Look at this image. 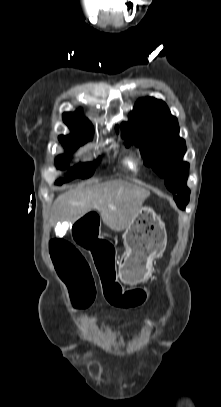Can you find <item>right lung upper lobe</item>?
<instances>
[{
	"instance_id": "right-lung-upper-lobe-1",
	"label": "right lung upper lobe",
	"mask_w": 221,
	"mask_h": 407,
	"mask_svg": "<svg viewBox=\"0 0 221 407\" xmlns=\"http://www.w3.org/2000/svg\"><path fill=\"white\" fill-rule=\"evenodd\" d=\"M63 120L71 130L67 136H59L61 142L84 144L91 139L93 126L80 111L74 113H64Z\"/></svg>"
}]
</instances>
